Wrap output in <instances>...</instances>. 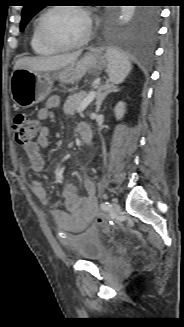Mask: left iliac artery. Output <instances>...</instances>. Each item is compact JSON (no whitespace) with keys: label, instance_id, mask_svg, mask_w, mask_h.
<instances>
[{"label":"left iliac artery","instance_id":"obj_1","mask_svg":"<svg viewBox=\"0 0 184 327\" xmlns=\"http://www.w3.org/2000/svg\"><path fill=\"white\" fill-rule=\"evenodd\" d=\"M110 203L109 202H103L102 204H101V208L103 209V210H108L109 208H110Z\"/></svg>","mask_w":184,"mask_h":327}]
</instances>
